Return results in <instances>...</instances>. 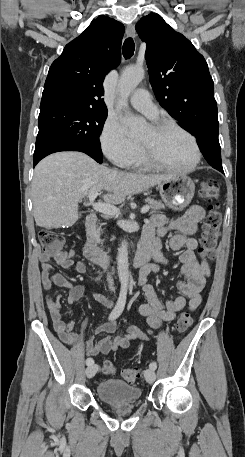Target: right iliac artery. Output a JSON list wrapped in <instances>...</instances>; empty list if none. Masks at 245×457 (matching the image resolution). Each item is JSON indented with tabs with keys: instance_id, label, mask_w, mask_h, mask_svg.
<instances>
[{
	"instance_id": "right-iliac-artery-1",
	"label": "right iliac artery",
	"mask_w": 245,
	"mask_h": 457,
	"mask_svg": "<svg viewBox=\"0 0 245 457\" xmlns=\"http://www.w3.org/2000/svg\"><path fill=\"white\" fill-rule=\"evenodd\" d=\"M126 295H127L126 288H122L120 291L119 298L117 300V304H116L115 308L112 310V312L109 316V319H111V320L115 319L122 313L124 306H125V302H126ZM93 363H94V360L91 357L86 359V365H91Z\"/></svg>"
}]
</instances>
